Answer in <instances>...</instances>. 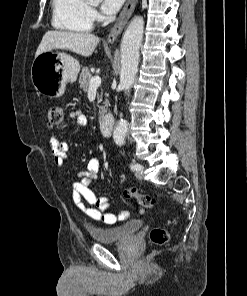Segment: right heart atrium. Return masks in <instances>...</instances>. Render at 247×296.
Wrapping results in <instances>:
<instances>
[{
  "mask_svg": "<svg viewBox=\"0 0 247 296\" xmlns=\"http://www.w3.org/2000/svg\"><path fill=\"white\" fill-rule=\"evenodd\" d=\"M90 15L92 19H97L98 18V13L96 12L95 9H90Z\"/></svg>",
  "mask_w": 247,
  "mask_h": 296,
  "instance_id": "right-heart-atrium-1",
  "label": "right heart atrium"
}]
</instances>
